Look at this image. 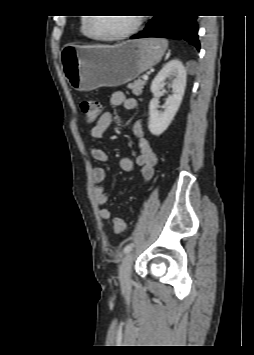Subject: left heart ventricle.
I'll list each match as a JSON object with an SVG mask.
<instances>
[{
  "instance_id": "obj_1",
  "label": "left heart ventricle",
  "mask_w": 254,
  "mask_h": 355,
  "mask_svg": "<svg viewBox=\"0 0 254 355\" xmlns=\"http://www.w3.org/2000/svg\"><path fill=\"white\" fill-rule=\"evenodd\" d=\"M134 22L133 15L97 18L94 22L95 32L102 36L119 35L128 30Z\"/></svg>"
}]
</instances>
